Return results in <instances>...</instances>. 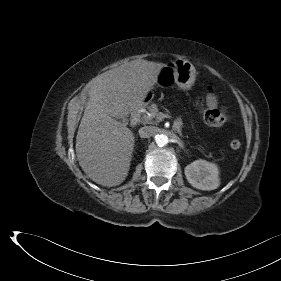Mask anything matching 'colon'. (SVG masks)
<instances>
[{
    "instance_id": "colon-1",
    "label": "colon",
    "mask_w": 281,
    "mask_h": 281,
    "mask_svg": "<svg viewBox=\"0 0 281 281\" xmlns=\"http://www.w3.org/2000/svg\"><path fill=\"white\" fill-rule=\"evenodd\" d=\"M227 120L225 112L218 108H207L204 111V121L209 126H221ZM241 143L237 139H233L230 142V147L234 150L239 149Z\"/></svg>"
}]
</instances>
